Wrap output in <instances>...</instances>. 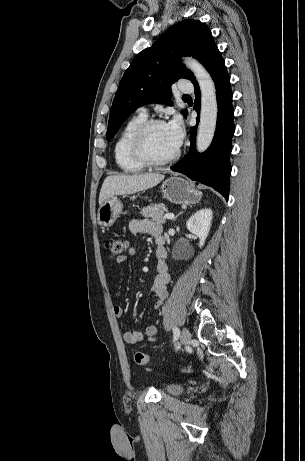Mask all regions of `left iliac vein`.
<instances>
[{"mask_svg": "<svg viewBox=\"0 0 305 461\" xmlns=\"http://www.w3.org/2000/svg\"><path fill=\"white\" fill-rule=\"evenodd\" d=\"M190 339H191L190 331L187 328H183L181 336H180L179 346L188 344Z\"/></svg>", "mask_w": 305, "mask_h": 461, "instance_id": "4c4485c4", "label": "left iliac vein"}]
</instances>
